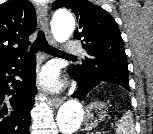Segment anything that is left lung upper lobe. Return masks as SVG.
Wrapping results in <instances>:
<instances>
[{"mask_svg": "<svg viewBox=\"0 0 153 134\" xmlns=\"http://www.w3.org/2000/svg\"><path fill=\"white\" fill-rule=\"evenodd\" d=\"M69 8L79 22L74 38L81 40L88 56L82 65L71 66L87 78L129 87L128 64L120 30L103 8L87 0H55L54 10Z\"/></svg>", "mask_w": 153, "mask_h": 134, "instance_id": "1", "label": "left lung upper lobe"}]
</instances>
